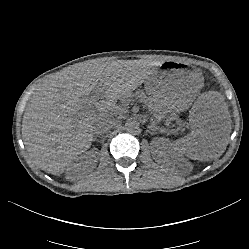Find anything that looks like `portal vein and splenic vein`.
Returning a JSON list of instances; mask_svg holds the SVG:
<instances>
[{
    "instance_id": "obj_1",
    "label": "portal vein and splenic vein",
    "mask_w": 249,
    "mask_h": 249,
    "mask_svg": "<svg viewBox=\"0 0 249 249\" xmlns=\"http://www.w3.org/2000/svg\"><path fill=\"white\" fill-rule=\"evenodd\" d=\"M98 98H99V92H97V93L95 94V100H93V101H96ZM92 107H93V103H91V104L88 106L87 110H91Z\"/></svg>"
}]
</instances>
